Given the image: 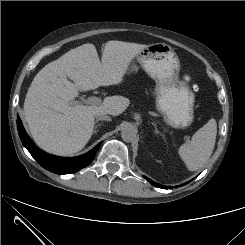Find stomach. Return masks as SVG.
Segmentation results:
<instances>
[{"instance_id":"stomach-1","label":"stomach","mask_w":245,"mask_h":245,"mask_svg":"<svg viewBox=\"0 0 245 245\" xmlns=\"http://www.w3.org/2000/svg\"><path fill=\"white\" fill-rule=\"evenodd\" d=\"M140 67L156 82V106L169 125L185 128L193 121L194 95L178 81L180 61L165 43L147 45L136 55ZM137 66H132L136 71Z\"/></svg>"}]
</instances>
